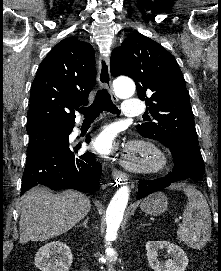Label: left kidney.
<instances>
[{"mask_svg": "<svg viewBox=\"0 0 221 271\" xmlns=\"http://www.w3.org/2000/svg\"><path fill=\"white\" fill-rule=\"evenodd\" d=\"M147 257L150 267L154 271H185L188 265V257L179 245L170 241H147ZM166 249L164 257H170L167 261H160L158 251Z\"/></svg>", "mask_w": 221, "mask_h": 271, "instance_id": "obj_1", "label": "left kidney"}]
</instances>
